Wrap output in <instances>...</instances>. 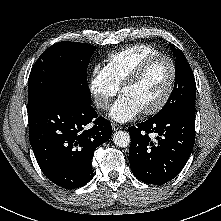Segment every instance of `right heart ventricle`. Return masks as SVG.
<instances>
[{
	"instance_id": "obj_1",
	"label": "right heart ventricle",
	"mask_w": 221,
	"mask_h": 221,
	"mask_svg": "<svg viewBox=\"0 0 221 221\" xmlns=\"http://www.w3.org/2000/svg\"><path fill=\"white\" fill-rule=\"evenodd\" d=\"M156 53H159V50L152 45L135 44L109 53L106 57V68L119 87L138 64Z\"/></svg>"
}]
</instances>
